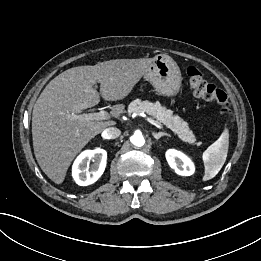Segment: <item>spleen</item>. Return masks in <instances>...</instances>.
Wrapping results in <instances>:
<instances>
[{"mask_svg":"<svg viewBox=\"0 0 261 261\" xmlns=\"http://www.w3.org/2000/svg\"><path fill=\"white\" fill-rule=\"evenodd\" d=\"M229 147V130L225 128L220 137L203 153L205 166L203 181L214 178L223 167Z\"/></svg>","mask_w":261,"mask_h":261,"instance_id":"1","label":"spleen"}]
</instances>
